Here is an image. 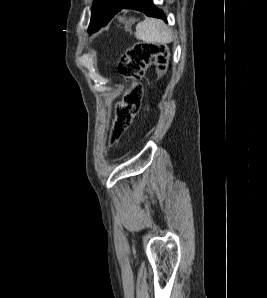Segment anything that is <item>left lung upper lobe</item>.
<instances>
[{
  "label": "left lung upper lobe",
  "mask_w": 267,
  "mask_h": 298,
  "mask_svg": "<svg viewBox=\"0 0 267 298\" xmlns=\"http://www.w3.org/2000/svg\"><path fill=\"white\" fill-rule=\"evenodd\" d=\"M119 0H94L92 6V16L107 8L110 4Z\"/></svg>",
  "instance_id": "left-lung-upper-lobe-1"
}]
</instances>
